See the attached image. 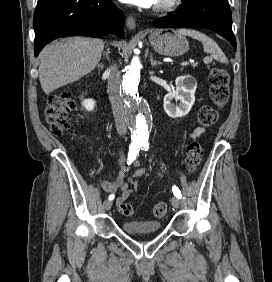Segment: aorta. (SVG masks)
Wrapping results in <instances>:
<instances>
[{"label": "aorta", "mask_w": 272, "mask_h": 282, "mask_svg": "<svg viewBox=\"0 0 272 282\" xmlns=\"http://www.w3.org/2000/svg\"><path fill=\"white\" fill-rule=\"evenodd\" d=\"M141 67L139 58L133 57L122 81V90L127 102V120L131 136L136 140L148 139L150 132V108L139 95Z\"/></svg>", "instance_id": "1"}]
</instances>
